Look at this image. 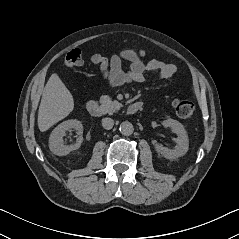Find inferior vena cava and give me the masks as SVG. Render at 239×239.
I'll return each instance as SVG.
<instances>
[{
	"label": "inferior vena cava",
	"mask_w": 239,
	"mask_h": 239,
	"mask_svg": "<svg viewBox=\"0 0 239 239\" xmlns=\"http://www.w3.org/2000/svg\"><path fill=\"white\" fill-rule=\"evenodd\" d=\"M114 125V120L111 118H103L102 119V126L104 129L110 130Z\"/></svg>",
	"instance_id": "602c4592"
}]
</instances>
